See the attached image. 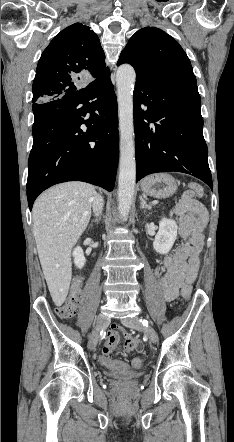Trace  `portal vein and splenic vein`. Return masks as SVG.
Instances as JSON below:
<instances>
[{"instance_id":"18ae733b","label":"portal vein and splenic vein","mask_w":234,"mask_h":442,"mask_svg":"<svg viewBox=\"0 0 234 442\" xmlns=\"http://www.w3.org/2000/svg\"><path fill=\"white\" fill-rule=\"evenodd\" d=\"M157 203H158L157 201L152 202L153 205H154V204H157Z\"/></svg>"}]
</instances>
